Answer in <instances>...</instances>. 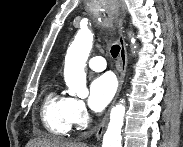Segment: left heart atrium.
<instances>
[{"label":"left heart atrium","mask_w":183,"mask_h":147,"mask_svg":"<svg viewBox=\"0 0 183 147\" xmlns=\"http://www.w3.org/2000/svg\"><path fill=\"white\" fill-rule=\"evenodd\" d=\"M117 83L111 74L96 77L90 84L88 103L92 110L102 111L115 95Z\"/></svg>","instance_id":"left-heart-atrium-1"}]
</instances>
